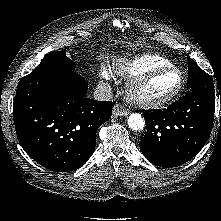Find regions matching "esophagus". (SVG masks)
Returning <instances> with one entry per match:
<instances>
[{
  "instance_id": "1",
  "label": "esophagus",
  "mask_w": 221,
  "mask_h": 221,
  "mask_svg": "<svg viewBox=\"0 0 221 221\" xmlns=\"http://www.w3.org/2000/svg\"><path fill=\"white\" fill-rule=\"evenodd\" d=\"M130 111L123 105L121 104H116L113 108V115L115 116H123V115H128Z\"/></svg>"
}]
</instances>
